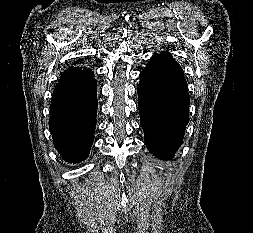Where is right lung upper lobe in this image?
<instances>
[{
	"instance_id": "cb5924a9",
	"label": "right lung upper lobe",
	"mask_w": 253,
	"mask_h": 233,
	"mask_svg": "<svg viewBox=\"0 0 253 233\" xmlns=\"http://www.w3.org/2000/svg\"><path fill=\"white\" fill-rule=\"evenodd\" d=\"M81 61V60H80ZM74 64H78V61L74 62Z\"/></svg>"
}]
</instances>
